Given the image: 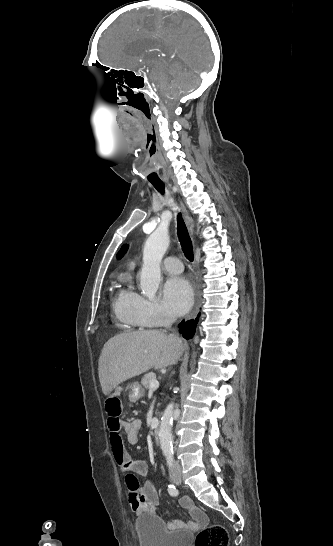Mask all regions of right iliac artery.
<instances>
[{
  "label": "right iliac artery",
  "mask_w": 333,
  "mask_h": 546,
  "mask_svg": "<svg viewBox=\"0 0 333 546\" xmlns=\"http://www.w3.org/2000/svg\"><path fill=\"white\" fill-rule=\"evenodd\" d=\"M168 465H169V468L172 466V458H168ZM168 492L171 496H177L178 495V490L176 489V487L174 485H169L168 486Z\"/></svg>",
  "instance_id": "1"
}]
</instances>
